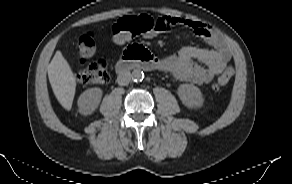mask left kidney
I'll list each match as a JSON object with an SVG mask.
<instances>
[{
	"instance_id": "5707ae66",
	"label": "left kidney",
	"mask_w": 292,
	"mask_h": 184,
	"mask_svg": "<svg viewBox=\"0 0 292 184\" xmlns=\"http://www.w3.org/2000/svg\"><path fill=\"white\" fill-rule=\"evenodd\" d=\"M177 94L182 103L188 108H201L204 103L200 89L193 84H181Z\"/></svg>"
}]
</instances>
